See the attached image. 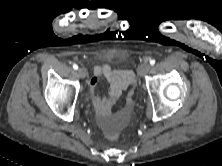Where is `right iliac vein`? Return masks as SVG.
<instances>
[{"instance_id":"1","label":"right iliac vein","mask_w":222,"mask_h":166,"mask_svg":"<svg viewBox=\"0 0 222 166\" xmlns=\"http://www.w3.org/2000/svg\"><path fill=\"white\" fill-rule=\"evenodd\" d=\"M77 74L79 75V77L85 78L86 77V70L84 68H79L77 70Z\"/></svg>"}]
</instances>
